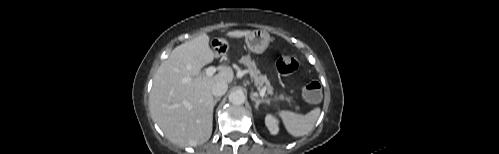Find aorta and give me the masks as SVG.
Wrapping results in <instances>:
<instances>
[{
	"label": "aorta",
	"mask_w": 499,
	"mask_h": 154,
	"mask_svg": "<svg viewBox=\"0 0 499 154\" xmlns=\"http://www.w3.org/2000/svg\"><path fill=\"white\" fill-rule=\"evenodd\" d=\"M245 100V94L241 90H236L229 94V102L233 105H241L245 102Z\"/></svg>",
	"instance_id": "aorta-1"
}]
</instances>
